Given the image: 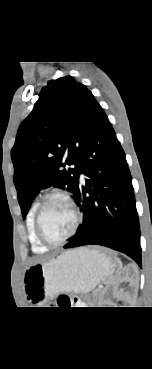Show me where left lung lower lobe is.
<instances>
[{
	"mask_svg": "<svg viewBox=\"0 0 152 369\" xmlns=\"http://www.w3.org/2000/svg\"><path fill=\"white\" fill-rule=\"evenodd\" d=\"M74 200L83 223L64 248L88 244L123 252L141 267L140 227L125 153L103 109L93 118L81 158Z\"/></svg>",
	"mask_w": 152,
	"mask_h": 369,
	"instance_id": "obj_1",
	"label": "left lung lower lobe"
}]
</instances>
